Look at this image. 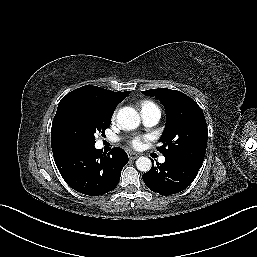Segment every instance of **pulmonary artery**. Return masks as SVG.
Returning <instances> with one entry per match:
<instances>
[{
	"instance_id": "obj_1",
	"label": "pulmonary artery",
	"mask_w": 257,
	"mask_h": 257,
	"mask_svg": "<svg viewBox=\"0 0 257 257\" xmlns=\"http://www.w3.org/2000/svg\"><path fill=\"white\" fill-rule=\"evenodd\" d=\"M141 118L143 121V124L148 127L155 126L160 118H161V112L159 109H149L141 112ZM159 162L164 163L165 162V157L160 156L159 157Z\"/></svg>"
}]
</instances>
